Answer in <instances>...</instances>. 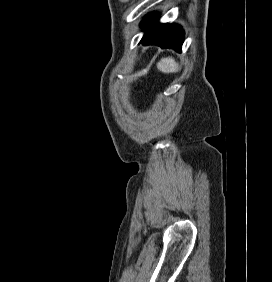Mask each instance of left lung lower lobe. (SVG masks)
I'll use <instances>...</instances> for the list:
<instances>
[{
  "mask_svg": "<svg viewBox=\"0 0 272 282\" xmlns=\"http://www.w3.org/2000/svg\"><path fill=\"white\" fill-rule=\"evenodd\" d=\"M155 14L153 17L146 16L142 26L146 32L141 40L143 45L155 44L162 48H173L181 51L184 40V31L177 24H160Z\"/></svg>",
  "mask_w": 272,
  "mask_h": 282,
  "instance_id": "1",
  "label": "left lung lower lobe"
}]
</instances>
